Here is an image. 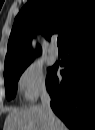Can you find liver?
Wrapping results in <instances>:
<instances>
[{"mask_svg":"<svg viewBox=\"0 0 95 130\" xmlns=\"http://www.w3.org/2000/svg\"><path fill=\"white\" fill-rule=\"evenodd\" d=\"M51 121L41 105L22 109H13L6 117L4 130H51ZM54 130H67L61 120L55 116Z\"/></svg>","mask_w":95,"mask_h":130,"instance_id":"1","label":"liver"}]
</instances>
